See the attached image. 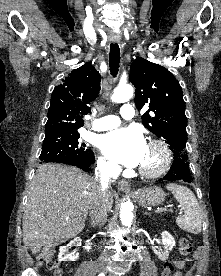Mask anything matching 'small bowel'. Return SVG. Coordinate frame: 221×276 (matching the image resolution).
I'll return each instance as SVG.
<instances>
[{
  "instance_id": "small-bowel-1",
  "label": "small bowel",
  "mask_w": 221,
  "mask_h": 276,
  "mask_svg": "<svg viewBox=\"0 0 221 276\" xmlns=\"http://www.w3.org/2000/svg\"><path fill=\"white\" fill-rule=\"evenodd\" d=\"M180 270H181V267H180V268H177V269L174 271V273H173L172 276H183Z\"/></svg>"
}]
</instances>
